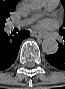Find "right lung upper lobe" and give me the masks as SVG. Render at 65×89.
Returning <instances> with one entry per match:
<instances>
[{
  "label": "right lung upper lobe",
  "instance_id": "right-lung-upper-lobe-1",
  "mask_svg": "<svg viewBox=\"0 0 65 89\" xmlns=\"http://www.w3.org/2000/svg\"><path fill=\"white\" fill-rule=\"evenodd\" d=\"M18 0H0V12L10 13L15 10Z\"/></svg>",
  "mask_w": 65,
  "mask_h": 89
}]
</instances>
